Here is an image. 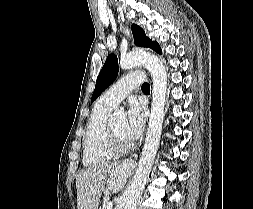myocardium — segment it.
Masks as SVG:
<instances>
[{
	"instance_id": "1",
	"label": "myocardium",
	"mask_w": 253,
	"mask_h": 209,
	"mask_svg": "<svg viewBox=\"0 0 253 209\" xmlns=\"http://www.w3.org/2000/svg\"><path fill=\"white\" fill-rule=\"evenodd\" d=\"M106 140H107V146L108 149L114 154V155H124L128 152H130L134 145L132 143L128 145H122L113 130L112 123L108 122L106 126Z\"/></svg>"
}]
</instances>
